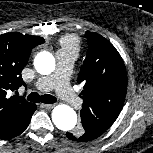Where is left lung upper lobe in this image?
I'll return each instance as SVG.
<instances>
[{
	"instance_id": "5c2ea615",
	"label": "left lung upper lobe",
	"mask_w": 153,
	"mask_h": 153,
	"mask_svg": "<svg viewBox=\"0 0 153 153\" xmlns=\"http://www.w3.org/2000/svg\"><path fill=\"white\" fill-rule=\"evenodd\" d=\"M88 52L78 75L84 85L80 112L85 134L102 135L120 114L127 91L124 62L115 47L104 37L87 32Z\"/></svg>"
}]
</instances>
